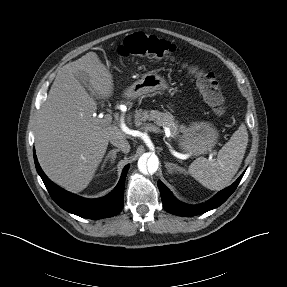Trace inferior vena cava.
<instances>
[{"label": "inferior vena cava", "mask_w": 287, "mask_h": 287, "mask_svg": "<svg viewBox=\"0 0 287 287\" xmlns=\"http://www.w3.org/2000/svg\"><path fill=\"white\" fill-rule=\"evenodd\" d=\"M110 143L118 147L124 153H128L130 151V145L128 141L124 138L113 136L110 138Z\"/></svg>", "instance_id": "obj_1"}]
</instances>
